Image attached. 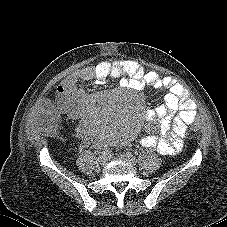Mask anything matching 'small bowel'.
<instances>
[{
  "instance_id": "small-bowel-1",
  "label": "small bowel",
  "mask_w": 227,
  "mask_h": 227,
  "mask_svg": "<svg viewBox=\"0 0 227 227\" xmlns=\"http://www.w3.org/2000/svg\"><path fill=\"white\" fill-rule=\"evenodd\" d=\"M110 78H122L121 85L134 90L146 86L166 89L164 102L146 112V119L157 122L153 130L141 138V145L166 155L179 153L184 144V131L196 115V103L186 88L172 77H163L154 71H145L136 62L119 60L101 62L68 75L57 87L56 97L62 109L77 107L85 98L82 84L93 81L100 86ZM54 105L50 100L43 103L41 112L51 114Z\"/></svg>"
}]
</instances>
